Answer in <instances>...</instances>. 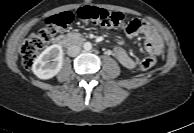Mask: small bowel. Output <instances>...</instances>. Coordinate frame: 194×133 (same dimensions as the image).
<instances>
[{
  "instance_id": "1",
  "label": "small bowel",
  "mask_w": 194,
  "mask_h": 133,
  "mask_svg": "<svg viewBox=\"0 0 194 133\" xmlns=\"http://www.w3.org/2000/svg\"><path fill=\"white\" fill-rule=\"evenodd\" d=\"M125 29L129 37H135L139 34L145 37L144 50L149 56L153 57L161 53L163 47L162 39L153 25L141 19H134L127 23ZM113 55L125 68H136L137 62L123 47H115Z\"/></svg>"
}]
</instances>
